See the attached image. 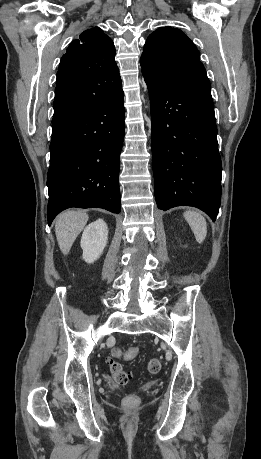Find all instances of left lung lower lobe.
<instances>
[{"label":"left lung lower lobe","mask_w":261,"mask_h":459,"mask_svg":"<svg viewBox=\"0 0 261 459\" xmlns=\"http://www.w3.org/2000/svg\"><path fill=\"white\" fill-rule=\"evenodd\" d=\"M150 94L155 197L164 211L194 206L213 221L221 201V159L211 91L143 74Z\"/></svg>","instance_id":"left-lung-lower-lobe-1"}]
</instances>
